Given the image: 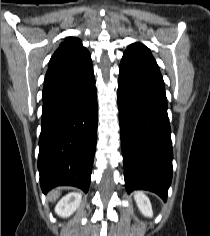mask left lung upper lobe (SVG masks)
Listing matches in <instances>:
<instances>
[{"label": "left lung upper lobe", "instance_id": "5c2ea615", "mask_svg": "<svg viewBox=\"0 0 210 236\" xmlns=\"http://www.w3.org/2000/svg\"><path fill=\"white\" fill-rule=\"evenodd\" d=\"M122 61L135 65H141L159 69L150 50L141 43L131 44L124 52Z\"/></svg>", "mask_w": 210, "mask_h": 236}]
</instances>
